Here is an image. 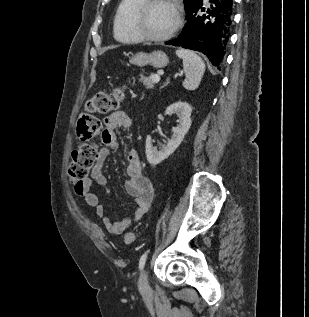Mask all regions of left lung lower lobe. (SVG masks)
Listing matches in <instances>:
<instances>
[{"label":"left lung lower lobe","mask_w":309,"mask_h":317,"mask_svg":"<svg viewBox=\"0 0 309 317\" xmlns=\"http://www.w3.org/2000/svg\"><path fill=\"white\" fill-rule=\"evenodd\" d=\"M209 3L208 8L202 7V1L186 11L187 23L182 33L165 43L202 52L220 68L229 45L234 1L209 0Z\"/></svg>","instance_id":"left-lung-lower-lobe-1"}]
</instances>
